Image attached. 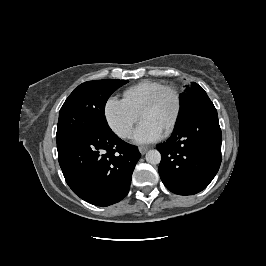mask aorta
Returning a JSON list of instances; mask_svg holds the SVG:
<instances>
[{
  "instance_id": "762f6f07",
  "label": "aorta",
  "mask_w": 266,
  "mask_h": 266,
  "mask_svg": "<svg viewBox=\"0 0 266 266\" xmlns=\"http://www.w3.org/2000/svg\"><path fill=\"white\" fill-rule=\"evenodd\" d=\"M146 161L150 164L156 165L159 164L161 161V154L157 150H149L146 153Z\"/></svg>"
}]
</instances>
